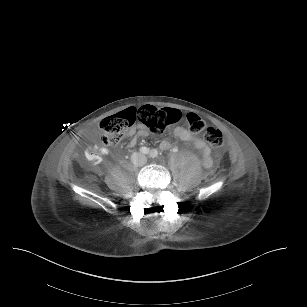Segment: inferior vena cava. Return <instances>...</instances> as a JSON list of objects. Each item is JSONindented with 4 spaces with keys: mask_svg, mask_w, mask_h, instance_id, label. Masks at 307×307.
<instances>
[{
    "mask_svg": "<svg viewBox=\"0 0 307 307\" xmlns=\"http://www.w3.org/2000/svg\"><path fill=\"white\" fill-rule=\"evenodd\" d=\"M132 162H133L135 165H143V164L145 163V161H143V162H140L139 160L134 161V159H132Z\"/></svg>",
    "mask_w": 307,
    "mask_h": 307,
    "instance_id": "1",
    "label": "inferior vena cava"
}]
</instances>
